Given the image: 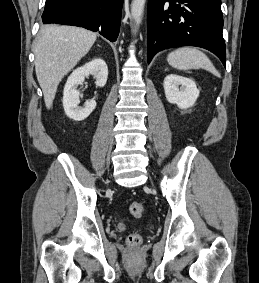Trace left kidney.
<instances>
[{"label": "left kidney", "instance_id": "left-kidney-1", "mask_svg": "<svg viewBox=\"0 0 259 283\" xmlns=\"http://www.w3.org/2000/svg\"><path fill=\"white\" fill-rule=\"evenodd\" d=\"M163 87L167 101L176 104L180 109L193 106L199 97L196 83L186 77L175 74L167 75Z\"/></svg>", "mask_w": 259, "mask_h": 283}]
</instances>
